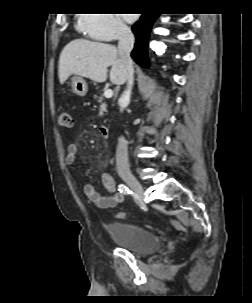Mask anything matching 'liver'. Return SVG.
Here are the masks:
<instances>
[{
    "mask_svg": "<svg viewBox=\"0 0 252 303\" xmlns=\"http://www.w3.org/2000/svg\"><path fill=\"white\" fill-rule=\"evenodd\" d=\"M109 66L110 81L115 85L124 84L128 77L127 68L114 45L75 39L60 54L59 80L63 84L69 76L78 75L102 83L107 79Z\"/></svg>",
    "mask_w": 252,
    "mask_h": 303,
    "instance_id": "6515ba94",
    "label": "liver"
}]
</instances>
